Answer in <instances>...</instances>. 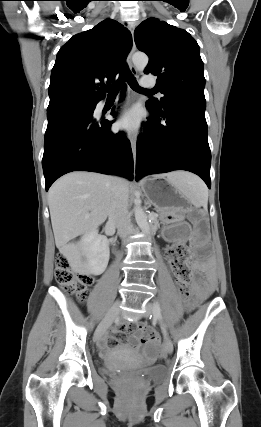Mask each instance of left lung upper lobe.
<instances>
[{
	"instance_id": "5c2ea615",
	"label": "left lung upper lobe",
	"mask_w": 261,
	"mask_h": 427,
	"mask_svg": "<svg viewBox=\"0 0 261 427\" xmlns=\"http://www.w3.org/2000/svg\"><path fill=\"white\" fill-rule=\"evenodd\" d=\"M136 46L149 56L145 74L157 75V87L164 94L160 102L146 103L161 110L180 97L205 101V78L199 45L185 30L157 18L143 21L134 32Z\"/></svg>"
}]
</instances>
